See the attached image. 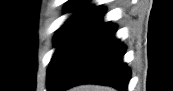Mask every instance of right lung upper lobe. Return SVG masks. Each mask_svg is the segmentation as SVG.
Listing matches in <instances>:
<instances>
[{
	"label": "right lung upper lobe",
	"instance_id": "obj_1",
	"mask_svg": "<svg viewBox=\"0 0 173 91\" xmlns=\"http://www.w3.org/2000/svg\"><path fill=\"white\" fill-rule=\"evenodd\" d=\"M87 3L86 0H71L66 6L67 11L76 10ZM105 9L101 6L96 7H85L75 14H73L66 23H76L85 25L95 17L99 16L100 14L104 13Z\"/></svg>",
	"mask_w": 173,
	"mask_h": 91
}]
</instances>
